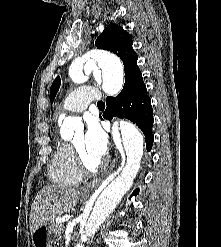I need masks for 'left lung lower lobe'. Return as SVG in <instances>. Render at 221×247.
I'll return each mask as SVG.
<instances>
[{
	"mask_svg": "<svg viewBox=\"0 0 221 247\" xmlns=\"http://www.w3.org/2000/svg\"><path fill=\"white\" fill-rule=\"evenodd\" d=\"M107 108L104 112V118L111 120L113 116L127 118L135 123L144 133L146 149L150 151L154 141L152 135L153 110L150 97L147 95L146 86L134 83L128 89L126 94L120 93L117 97H108L106 99ZM139 189H136L132 195H137Z\"/></svg>",
	"mask_w": 221,
	"mask_h": 247,
	"instance_id": "left-lung-lower-lobe-1",
	"label": "left lung lower lobe"
}]
</instances>
